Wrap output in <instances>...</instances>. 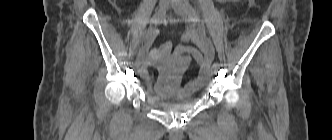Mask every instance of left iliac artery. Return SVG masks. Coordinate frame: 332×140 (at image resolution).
Returning <instances> with one entry per match:
<instances>
[{
    "label": "left iliac artery",
    "mask_w": 332,
    "mask_h": 140,
    "mask_svg": "<svg viewBox=\"0 0 332 140\" xmlns=\"http://www.w3.org/2000/svg\"><path fill=\"white\" fill-rule=\"evenodd\" d=\"M186 5H187V11H188L190 20L192 22H199L200 20H199L196 10L192 7V5L188 1L186 2ZM213 66L216 67L217 69H219V67H220L218 62H215L213 64Z\"/></svg>",
    "instance_id": "1"
}]
</instances>
